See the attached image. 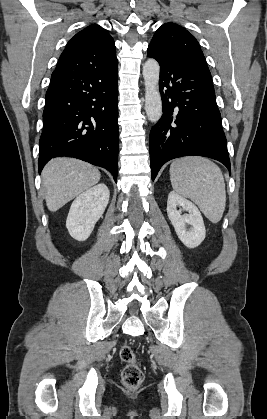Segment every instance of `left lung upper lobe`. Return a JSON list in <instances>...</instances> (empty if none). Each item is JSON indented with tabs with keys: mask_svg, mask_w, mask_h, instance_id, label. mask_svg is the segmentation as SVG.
<instances>
[{
	"mask_svg": "<svg viewBox=\"0 0 267 419\" xmlns=\"http://www.w3.org/2000/svg\"><path fill=\"white\" fill-rule=\"evenodd\" d=\"M148 49L163 58L183 61L209 71L198 41L175 23L159 27Z\"/></svg>",
	"mask_w": 267,
	"mask_h": 419,
	"instance_id": "obj_1",
	"label": "left lung upper lobe"
}]
</instances>
